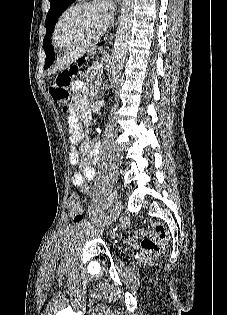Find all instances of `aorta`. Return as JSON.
<instances>
[{
  "label": "aorta",
  "instance_id": "aorta-1",
  "mask_svg": "<svg viewBox=\"0 0 227 315\" xmlns=\"http://www.w3.org/2000/svg\"><path fill=\"white\" fill-rule=\"evenodd\" d=\"M134 0H122L119 25L115 35V42L111 54L110 75L112 79L120 73L128 50L133 22Z\"/></svg>",
  "mask_w": 227,
  "mask_h": 315
}]
</instances>
